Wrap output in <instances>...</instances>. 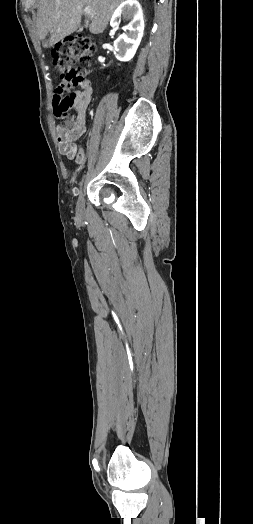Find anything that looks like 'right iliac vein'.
<instances>
[{"instance_id":"right-iliac-vein-1","label":"right iliac vein","mask_w":253,"mask_h":524,"mask_svg":"<svg viewBox=\"0 0 253 524\" xmlns=\"http://www.w3.org/2000/svg\"><path fill=\"white\" fill-rule=\"evenodd\" d=\"M84 204H85L84 195L81 192L76 202V214L79 217H82L84 214Z\"/></svg>"}]
</instances>
